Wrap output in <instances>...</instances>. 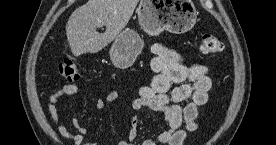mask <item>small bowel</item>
Masks as SVG:
<instances>
[{
	"instance_id": "small-bowel-1",
	"label": "small bowel",
	"mask_w": 276,
	"mask_h": 145,
	"mask_svg": "<svg viewBox=\"0 0 276 145\" xmlns=\"http://www.w3.org/2000/svg\"><path fill=\"white\" fill-rule=\"evenodd\" d=\"M154 57L151 69L154 71L151 83L142 86L138 96L132 102L133 110L148 108L160 113L167 124V129L154 138L143 141L142 145H183L189 132L198 128L199 107L208 101L212 81L208 75V67L204 64L186 65L182 55L175 49L162 44H154L151 48ZM76 85H64L46 100L47 112L58 128L59 133L73 141V145H81L88 133L87 127L73 117L71 123L76 132L71 131L65 120L59 115L57 104L78 93ZM119 92H108L105 99H98L96 106L103 110L107 104L114 103ZM139 118L130 119L129 129L118 145H134L138 137ZM92 141L86 145H102Z\"/></svg>"
}]
</instances>
